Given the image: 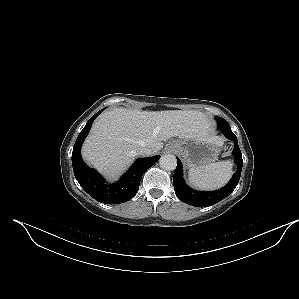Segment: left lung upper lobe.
<instances>
[{
	"label": "left lung upper lobe",
	"mask_w": 299,
	"mask_h": 299,
	"mask_svg": "<svg viewBox=\"0 0 299 299\" xmlns=\"http://www.w3.org/2000/svg\"><path fill=\"white\" fill-rule=\"evenodd\" d=\"M216 119H223V118L217 117ZM224 120H225V119H224Z\"/></svg>",
	"instance_id": "5c2ea615"
}]
</instances>
